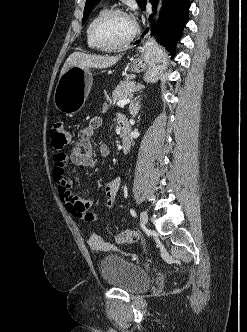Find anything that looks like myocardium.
I'll list each match as a JSON object with an SVG mask.
<instances>
[{
	"mask_svg": "<svg viewBox=\"0 0 247 332\" xmlns=\"http://www.w3.org/2000/svg\"><path fill=\"white\" fill-rule=\"evenodd\" d=\"M116 14H122L128 16V14L120 8H110L106 9L100 15H98L91 24L90 28L91 37L93 41L103 50H108V51L122 50L132 43V41L134 40V38L138 33V26L135 22H133L134 23L133 31L123 42L115 45L103 42L98 35V27L105 19Z\"/></svg>",
	"mask_w": 247,
	"mask_h": 332,
	"instance_id": "f54148a6",
	"label": "myocardium"
}]
</instances>
